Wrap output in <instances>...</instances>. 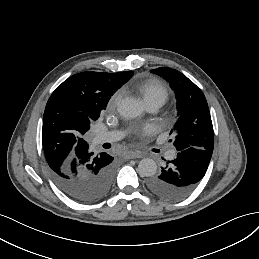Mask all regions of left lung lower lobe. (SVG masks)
Returning <instances> with one entry per match:
<instances>
[{
    "label": "left lung lower lobe",
    "mask_w": 259,
    "mask_h": 259,
    "mask_svg": "<svg viewBox=\"0 0 259 259\" xmlns=\"http://www.w3.org/2000/svg\"><path fill=\"white\" fill-rule=\"evenodd\" d=\"M212 152L194 147L179 150L176 159L168 161L159 176L148 180V189L165 200L185 198L204 177Z\"/></svg>",
    "instance_id": "0a47b994"
}]
</instances>
